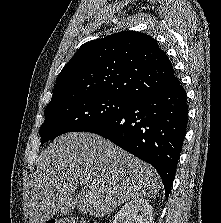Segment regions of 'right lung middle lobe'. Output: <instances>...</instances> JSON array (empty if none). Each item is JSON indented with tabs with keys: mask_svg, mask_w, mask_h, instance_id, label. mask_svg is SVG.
<instances>
[{
	"mask_svg": "<svg viewBox=\"0 0 221 223\" xmlns=\"http://www.w3.org/2000/svg\"><path fill=\"white\" fill-rule=\"evenodd\" d=\"M132 102L105 95H82L50 103L39 131L41 145L67 132L86 131L120 114Z\"/></svg>",
	"mask_w": 221,
	"mask_h": 223,
	"instance_id": "1",
	"label": "right lung middle lobe"
}]
</instances>
